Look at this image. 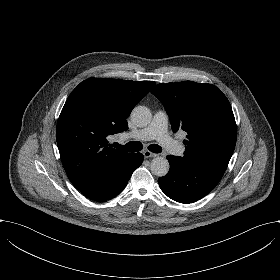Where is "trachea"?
<instances>
[{"mask_svg":"<svg viewBox=\"0 0 280 280\" xmlns=\"http://www.w3.org/2000/svg\"><path fill=\"white\" fill-rule=\"evenodd\" d=\"M113 146L117 149H121V150H124L126 152H139L143 148L142 143L138 142V141H130L126 145H120L118 143H114ZM148 149L151 152H154V153H160L162 151V148L159 145H156V144H151L148 147Z\"/></svg>","mask_w":280,"mask_h":280,"instance_id":"obj_1","label":"trachea"}]
</instances>
